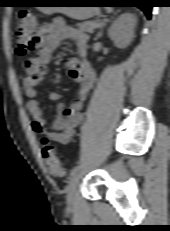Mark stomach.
I'll use <instances>...</instances> for the list:
<instances>
[{"mask_svg":"<svg viewBox=\"0 0 170 231\" xmlns=\"http://www.w3.org/2000/svg\"><path fill=\"white\" fill-rule=\"evenodd\" d=\"M42 4H74L75 1L69 0H45L41 1ZM78 5H70L68 7H38V9L45 14L63 13L75 19H87L93 16L94 12L86 7H77Z\"/></svg>","mask_w":170,"mask_h":231,"instance_id":"stomach-1","label":"stomach"}]
</instances>
